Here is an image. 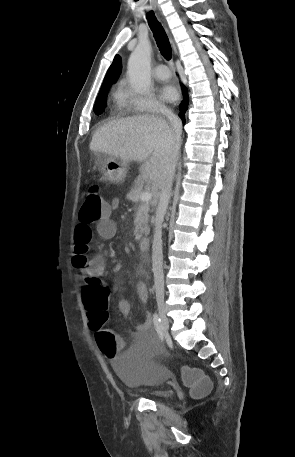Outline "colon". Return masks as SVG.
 I'll return each mask as SVG.
<instances>
[{
  "label": "colon",
  "mask_w": 295,
  "mask_h": 457,
  "mask_svg": "<svg viewBox=\"0 0 295 457\" xmlns=\"http://www.w3.org/2000/svg\"><path fill=\"white\" fill-rule=\"evenodd\" d=\"M109 207L104 200L101 189L91 185L85 193V200L79 211L80 224L90 226L105 218ZM87 251L77 248L73 257V266L86 275L88 265ZM87 284L82 291V301L87 311L89 324L94 333L102 359H112L113 362H127V342L123 341V333H112L107 329V307L109 291L102 283L101 277L86 276ZM181 376L194 397L203 396L210 390V381H204L203 370L182 368Z\"/></svg>",
  "instance_id": "colon-1"
}]
</instances>
